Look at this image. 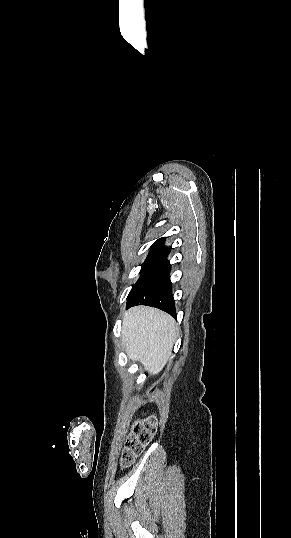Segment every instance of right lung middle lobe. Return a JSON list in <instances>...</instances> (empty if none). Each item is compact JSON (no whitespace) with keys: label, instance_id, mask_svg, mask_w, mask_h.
I'll return each mask as SVG.
<instances>
[{"label":"right lung middle lobe","instance_id":"obj_1","mask_svg":"<svg viewBox=\"0 0 291 538\" xmlns=\"http://www.w3.org/2000/svg\"><path fill=\"white\" fill-rule=\"evenodd\" d=\"M170 253V250L165 249H152L148 254L146 260L142 264L140 271V278L136 284L132 287L127 299L130 300L132 294L138 288V286L150 275V273L161 263L163 262ZM127 301V302H128Z\"/></svg>","mask_w":291,"mask_h":538}]
</instances>
